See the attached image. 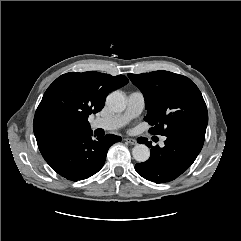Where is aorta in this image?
I'll list each match as a JSON object with an SVG mask.
<instances>
[{
    "mask_svg": "<svg viewBox=\"0 0 241 241\" xmlns=\"http://www.w3.org/2000/svg\"><path fill=\"white\" fill-rule=\"evenodd\" d=\"M107 107L113 112H122L126 108V99L120 92H112L106 98ZM133 158L145 162L150 157V150L145 144H137L132 149Z\"/></svg>",
    "mask_w": 241,
    "mask_h": 241,
    "instance_id": "1",
    "label": "aorta"
}]
</instances>
